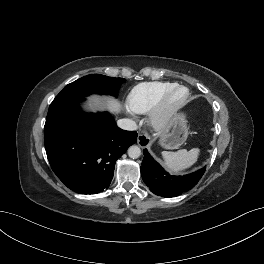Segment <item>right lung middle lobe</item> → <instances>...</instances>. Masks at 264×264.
<instances>
[{
  "label": "right lung middle lobe",
  "instance_id": "dd1d6c3e",
  "mask_svg": "<svg viewBox=\"0 0 264 264\" xmlns=\"http://www.w3.org/2000/svg\"><path fill=\"white\" fill-rule=\"evenodd\" d=\"M125 79L90 74L68 84L50 104L47 118L60 111L65 105L84 99L92 94L116 95Z\"/></svg>",
  "mask_w": 264,
  "mask_h": 264
}]
</instances>
